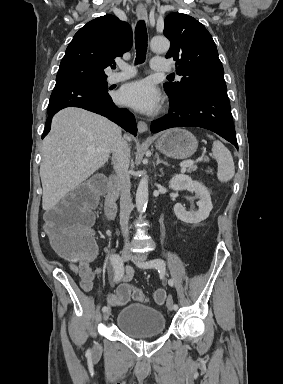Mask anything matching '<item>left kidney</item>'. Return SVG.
Wrapping results in <instances>:
<instances>
[{
	"instance_id": "left-kidney-1",
	"label": "left kidney",
	"mask_w": 283,
	"mask_h": 384,
	"mask_svg": "<svg viewBox=\"0 0 283 384\" xmlns=\"http://www.w3.org/2000/svg\"><path fill=\"white\" fill-rule=\"evenodd\" d=\"M169 188L171 190H188V192H195L196 196H199L200 200L197 202L198 210L194 212H186L185 208H183L182 204H175L174 206V214L178 220L181 222H185V224H199V222H203L208 218L213 204L211 202V196L200 182H193L190 176H185V174H176L173 176L172 180L169 182Z\"/></svg>"
}]
</instances>
